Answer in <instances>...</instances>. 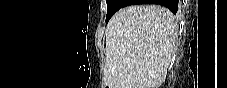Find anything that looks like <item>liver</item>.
<instances>
[{
	"label": "liver",
	"mask_w": 227,
	"mask_h": 88,
	"mask_svg": "<svg viewBox=\"0 0 227 88\" xmlns=\"http://www.w3.org/2000/svg\"><path fill=\"white\" fill-rule=\"evenodd\" d=\"M104 83L109 88H159L172 59L177 23L160 5H132L109 21Z\"/></svg>",
	"instance_id": "obj_1"
}]
</instances>
